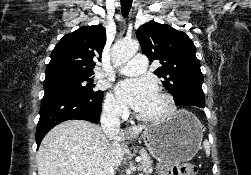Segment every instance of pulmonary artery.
Instances as JSON below:
<instances>
[{"label": "pulmonary artery", "instance_id": "pulmonary-artery-1", "mask_svg": "<svg viewBox=\"0 0 251 175\" xmlns=\"http://www.w3.org/2000/svg\"><path fill=\"white\" fill-rule=\"evenodd\" d=\"M134 62L126 64L117 70L119 74L143 76L144 70L147 67V58L144 56V52H137V55L133 56Z\"/></svg>", "mask_w": 251, "mask_h": 175}]
</instances>
